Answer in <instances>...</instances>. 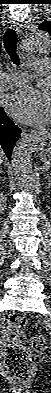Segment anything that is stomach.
<instances>
[{
	"mask_svg": "<svg viewBox=\"0 0 51 393\" xmlns=\"http://www.w3.org/2000/svg\"><path fill=\"white\" fill-rule=\"evenodd\" d=\"M40 158L43 160V162L51 163V150L50 148L42 150L40 153Z\"/></svg>",
	"mask_w": 51,
	"mask_h": 393,
	"instance_id": "obj_1",
	"label": "stomach"
}]
</instances>
